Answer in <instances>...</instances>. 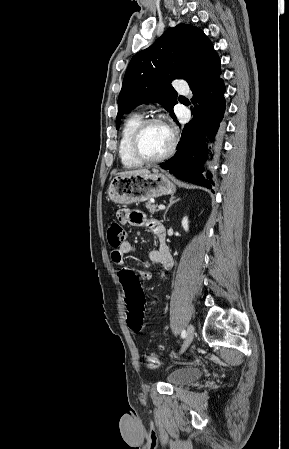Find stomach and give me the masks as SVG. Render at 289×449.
Masks as SVG:
<instances>
[{
    "label": "stomach",
    "instance_id": "obj_1",
    "mask_svg": "<svg viewBox=\"0 0 289 449\" xmlns=\"http://www.w3.org/2000/svg\"><path fill=\"white\" fill-rule=\"evenodd\" d=\"M175 192L176 186L169 176L155 170L148 174L118 175L110 182L107 194L113 202L128 205Z\"/></svg>",
    "mask_w": 289,
    "mask_h": 449
}]
</instances>
